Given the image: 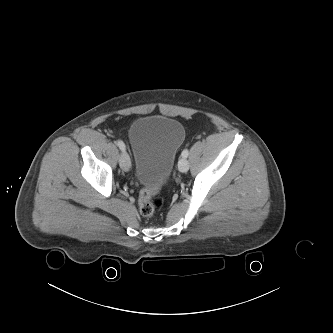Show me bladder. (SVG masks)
Segmentation results:
<instances>
[{"mask_svg":"<svg viewBox=\"0 0 333 333\" xmlns=\"http://www.w3.org/2000/svg\"><path fill=\"white\" fill-rule=\"evenodd\" d=\"M184 140L185 128L176 119L145 116L135 120L129 128V144L138 181L146 186L163 185Z\"/></svg>","mask_w":333,"mask_h":333,"instance_id":"obj_1","label":"bladder"}]
</instances>
